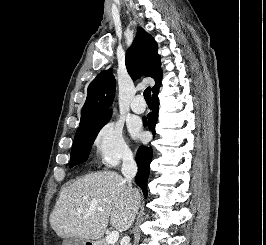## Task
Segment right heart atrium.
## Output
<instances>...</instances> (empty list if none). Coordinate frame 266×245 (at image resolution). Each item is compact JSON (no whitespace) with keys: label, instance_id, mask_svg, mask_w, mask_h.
Listing matches in <instances>:
<instances>
[{"label":"right heart atrium","instance_id":"right-heart-atrium-1","mask_svg":"<svg viewBox=\"0 0 266 245\" xmlns=\"http://www.w3.org/2000/svg\"><path fill=\"white\" fill-rule=\"evenodd\" d=\"M96 161L106 167L114 168L120 162L131 159L132 152L124 137L123 128L115 121L103 124L93 137Z\"/></svg>","mask_w":266,"mask_h":245}]
</instances>
